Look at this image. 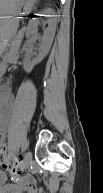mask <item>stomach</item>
I'll list each match as a JSON object with an SVG mask.
<instances>
[{
	"mask_svg": "<svg viewBox=\"0 0 103 193\" xmlns=\"http://www.w3.org/2000/svg\"><path fill=\"white\" fill-rule=\"evenodd\" d=\"M37 0H0V13L1 16H16L29 13ZM7 20L3 19L2 34L0 48L3 51L9 41L11 28L6 24Z\"/></svg>",
	"mask_w": 103,
	"mask_h": 193,
	"instance_id": "obj_1",
	"label": "stomach"
}]
</instances>
